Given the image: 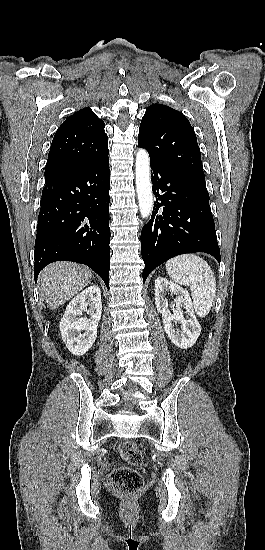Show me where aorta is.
I'll return each mask as SVG.
<instances>
[{"label": "aorta", "mask_w": 265, "mask_h": 550, "mask_svg": "<svg viewBox=\"0 0 265 550\" xmlns=\"http://www.w3.org/2000/svg\"><path fill=\"white\" fill-rule=\"evenodd\" d=\"M135 175L140 213L143 218H147L153 210V193L150 180V158L144 149L137 152Z\"/></svg>", "instance_id": "obj_1"}]
</instances>
